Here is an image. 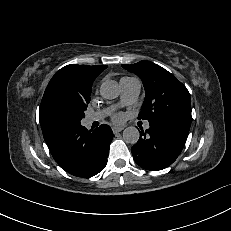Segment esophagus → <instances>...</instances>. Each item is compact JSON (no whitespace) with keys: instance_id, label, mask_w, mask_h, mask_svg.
Wrapping results in <instances>:
<instances>
[{"instance_id":"34e87169","label":"esophagus","mask_w":231,"mask_h":231,"mask_svg":"<svg viewBox=\"0 0 231 231\" xmlns=\"http://www.w3.org/2000/svg\"><path fill=\"white\" fill-rule=\"evenodd\" d=\"M123 129H124V126H114V127L112 128L113 133L121 132Z\"/></svg>"}]
</instances>
